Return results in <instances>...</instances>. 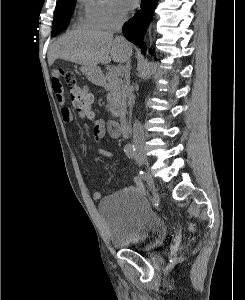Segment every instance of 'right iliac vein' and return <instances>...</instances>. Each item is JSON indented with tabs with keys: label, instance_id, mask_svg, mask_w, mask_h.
<instances>
[{
	"label": "right iliac vein",
	"instance_id": "1",
	"mask_svg": "<svg viewBox=\"0 0 245 300\" xmlns=\"http://www.w3.org/2000/svg\"><path fill=\"white\" fill-rule=\"evenodd\" d=\"M136 157L139 160V162L141 164H144L146 166L147 170L150 171V169H149V165L150 164H149V161H148V158H147L146 154L144 152H142V151H139L137 153ZM149 183L151 184L150 185L151 187L154 186V181H153V178H152V176L150 174H149Z\"/></svg>",
	"mask_w": 245,
	"mask_h": 300
}]
</instances>
